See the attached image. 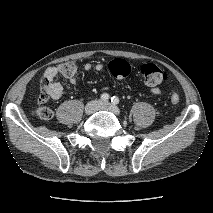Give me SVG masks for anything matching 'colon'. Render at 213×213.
I'll return each instance as SVG.
<instances>
[{"label":"colon","instance_id":"obj_1","mask_svg":"<svg viewBox=\"0 0 213 213\" xmlns=\"http://www.w3.org/2000/svg\"><path fill=\"white\" fill-rule=\"evenodd\" d=\"M109 69L111 73L118 78H125L130 74L131 67L128 62L122 59L113 60ZM59 70L61 74L68 79L74 78L79 72V66L74 61H67L60 65ZM140 75L143 83L149 87H155L167 80L166 73L157 65L153 63H145L140 68ZM49 93L46 88H42L39 101L34 109V114L42 119L49 120L53 116L51 108L46 104ZM180 100L177 92H172L170 95V103L176 106Z\"/></svg>","mask_w":213,"mask_h":213}]
</instances>
